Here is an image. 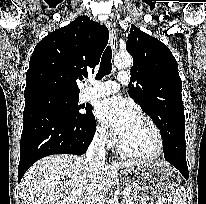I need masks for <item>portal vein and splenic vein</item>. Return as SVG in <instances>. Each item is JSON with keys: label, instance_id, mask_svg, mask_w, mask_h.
I'll return each instance as SVG.
<instances>
[{"label": "portal vein and splenic vein", "instance_id": "18ae733b", "mask_svg": "<svg viewBox=\"0 0 206 204\" xmlns=\"http://www.w3.org/2000/svg\"><path fill=\"white\" fill-rule=\"evenodd\" d=\"M129 193H130V190L127 188L123 192L124 196H127ZM159 204H162V203L160 202Z\"/></svg>", "mask_w": 206, "mask_h": 204}]
</instances>
